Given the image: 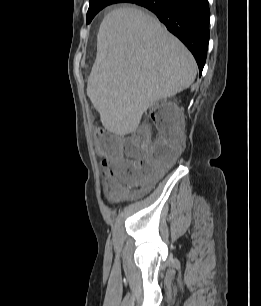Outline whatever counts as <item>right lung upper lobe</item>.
Here are the masks:
<instances>
[{
  "mask_svg": "<svg viewBox=\"0 0 261 306\" xmlns=\"http://www.w3.org/2000/svg\"><path fill=\"white\" fill-rule=\"evenodd\" d=\"M102 1H110V0H90V2H102ZM112 1H123V2H127L129 0H112Z\"/></svg>",
  "mask_w": 261,
  "mask_h": 306,
  "instance_id": "cb5924a9",
  "label": "right lung upper lobe"
}]
</instances>
